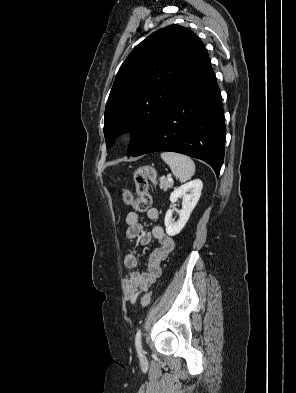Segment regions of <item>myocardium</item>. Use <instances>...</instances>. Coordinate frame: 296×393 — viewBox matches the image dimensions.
I'll return each mask as SVG.
<instances>
[{
  "label": "myocardium",
  "instance_id": "obj_1",
  "mask_svg": "<svg viewBox=\"0 0 296 393\" xmlns=\"http://www.w3.org/2000/svg\"><path fill=\"white\" fill-rule=\"evenodd\" d=\"M129 136L130 135H129L128 132L120 133L118 135V137H117V141L120 142V143H123V142H125L129 138Z\"/></svg>",
  "mask_w": 296,
  "mask_h": 393
}]
</instances>
